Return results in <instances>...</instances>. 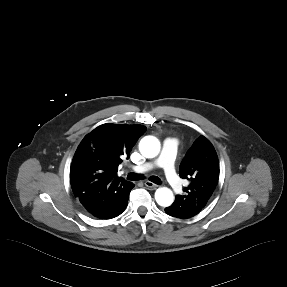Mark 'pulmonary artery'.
Returning a JSON list of instances; mask_svg holds the SVG:
<instances>
[{
    "instance_id": "e3ab8cb5",
    "label": "pulmonary artery",
    "mask_w": 287,
    "mask_h": 287,
    "mask_svg": "<svg viewBox=\"0 0 287 287\" xmlns=\"http://www.w3.org/2000/svg\"><path fill=\"white\" fill-rule=\"evenodd\" d=\"M177 140L168 139L164 142L160 156L152 162L133 166L132 169L137 173H144L154 168L160 167L164 170V175L176 194L182 193V186L176 176L174 169V157L177 149Z\"/></svg>"
}]
</instances>
